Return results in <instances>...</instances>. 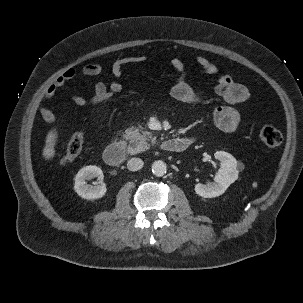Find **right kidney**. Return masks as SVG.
<instances>
[{
    "mask_svg": "<svg viewBox=\"0 0 303 303\" xmlns=\"http://www.w3.org/2000/svg\"><path fill=\"white\" fill-rule=\"evenodd\" d=\"M98 177V184L93 186L86 183L87 179ZM75 192L84 199L94 200L101 198L106 193V184L103 182V172L101 168L90 165L83 167L75 176Z\"/></svg>",
    "mask_w": 303,
    "mask_h": 303,
    "instance_id": "ca27d5eb",
    "label": "right kidney"
}]
</instances>
